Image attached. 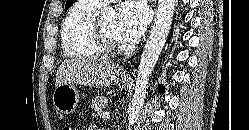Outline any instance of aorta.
Returning <instances> with one entry per match:
<instances>
[{"mask_svg":"<svg viewBox=\"0 0 249 130\" xmlns=\"http://www.w3.org/2000/svg\"><path fill=\"white\" fill-rule=\"evenodd\" d=\"M175 5L176 0H158L156 19L144 46L138 67L135 92L129 107V128L137 123L139 114L143 108L149 78L170 31ZM105 13H112V11L105 9Z\"/></svg>","mask_w":249,"mask_h":130,"instance_id":"aorta-1","label":"aorta"}]
</instances>
